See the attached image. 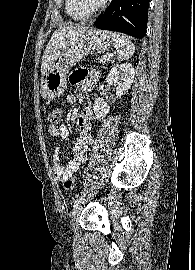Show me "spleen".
Listing matches in <instances>:
<instances>
[{
    "label": "spleen",
    "instance_id": "spleen-1",
    "mask_svg": "<svg viewBox=\"0 0 195 270\" xmlns=\"http://www.w3.org/2000/svg\"><path fill=\"white\" fill-rule=\"evenodd\" d=\"M109 36L117 51V58L119 60H128L135 52L134 44L128 39L127 36L117 33L109 32Z\"/></svg>",
    "mask_w": 195,
    "mask_h": 270
}]
</instances>
